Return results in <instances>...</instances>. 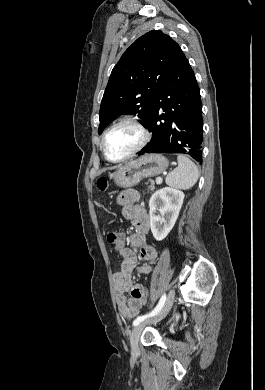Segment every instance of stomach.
Masks as SVG:
<instances>
[{
  "mask_svg": "<svg viewBox=\"0 0 265 390\" xmlns=\"http://www.w3.org/2000/svg\"><path fill=\"white\" fill-rule=\"evenodd\" d=\"M167 167L168 160L163 155L147 154L120 167L111 177L117 186L128 188L143 178L160 175Z\"/></svg>",
  "mask_w": 265,
  "mask_h": 390,
  "instance_id": "stomach-1",
  "label": "stomach"
}]
</instances>
